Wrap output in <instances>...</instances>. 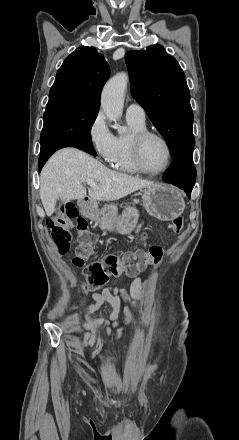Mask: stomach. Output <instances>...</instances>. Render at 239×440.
Here are the masks:
<instances>
[{
  "instance_id": "0dacf381",
  "label": "stomach",
  "mask_w": 239,
  "mask_h": 440,
  "mask_svg": "<svg viewBox=\"0 0 239 440\" xmlns=\"http://www.w3.org/2000/svg\"><path fill=\"white\" fill-rule=\"evenodd\" d=\"M143 206L148 214L153 218L170 222L174 218L181 216L185 210V202L176 188H147L143 196ZM78 206L81 208L82 216L98 222L101 230L109 232H118V234H131L139 218L138 210L127 206L121 216H118L116 204H105L99 208V202L96 200H78Z\"/></svg>"
}]
</instances>
